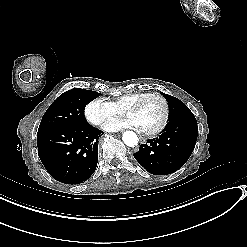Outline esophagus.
<instances>
[{
  "mask_svg": "<svg viewBox=\"0 0 247 247\" xmlns=\"http://www.w3.org/2000/svg\"><path fill=\"white\" fill-rule=\"evenodd\" d=\"M139 139H140V143L141 144H145L146 143V139L145 138L140 136Z\"/></svg>",
  "mask_w": 247,
  "mask_h": 247,
  "instance_id": "34e87169",
  "label": "esophagus"
}]
</instances>
